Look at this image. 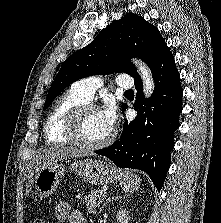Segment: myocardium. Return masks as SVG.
I'll use <instances>...</instances> for the list:
<instances>
[{
    "mask_svg": "<svg viewBox=\"0 0 221 223\" xmlns=\"http://www.w3.org/2000/svg\"><path fill=\"white\" fill-rule=\"evenodd\" d=\"M92 110H99V108L91 103H84L73 108L67 115L65 125H64V134L75 146L80 149L87 151H94L101 148H104L110 145L114 138L115 132L111 130L108 137L98 143H87L81 140L79 136V128L84 115Z\"/></svg>",
    "mask_w": 221,
    "mask_h": 223,
    "instance_id": "obj_1",
    "label": "myocardium"
}]
</instances>
